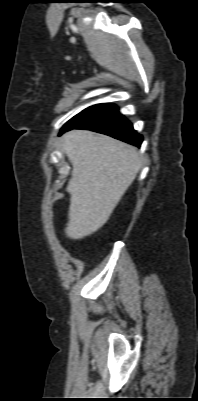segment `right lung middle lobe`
Here are the masks:
<instances>
[{"label": "right lung middle lobe", "instance_id": "dd1d6c3e", "mask_svg": "<svg viewBox=\"0 0 198 401\" xmlns=\"http://www.w3.org/2000/svg\"><path fill=\"white\" fill-rule=\"evenodd\" d=\"M102 104H97L91 107H88L87 109L83 110L76 116H74L72 119H70L61 129V133L64 132L65 130H68L77 124L83 122L85 119H87L89 116H91L93 113H95L101 106Z\"/></svg>", "mask_w": 198, "mask_h": 401}]
</instances>
